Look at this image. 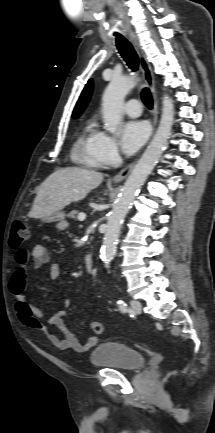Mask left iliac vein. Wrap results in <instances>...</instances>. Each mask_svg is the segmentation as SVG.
<instances>
[{"mask_svg": "<svg viewBox=\"0 0 215 433\" xmlns=\"http://www.w3.org/2000/svg\"><path fill=\"white\" fill-rule=\"evenodd\" d=\"M130 304H131L132 310H133V312L135 314H140L141 313L142 306H141V303L139 301H137V300H131Z\"/></svg>", "mask_w": 215, "mask_h": 433, "instance_id": "left-iliac-vein-1", "label": "left iliac vein"}]
</instances>
